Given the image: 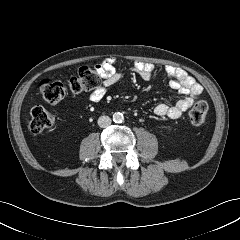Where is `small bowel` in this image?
Wrapping results in <instances>:
<instances>
[{
  "instance_id": "c3829d8e",
  "label": "small bowel",
  "mask_w": 240,
  "mask_h": 240,
  "mask_svg": "<svg viewBox=\"0 0 240 240\" xmlns=\"http://www.w3.org/2000/svg\"><path fill=\"white\" fill-rule=\"evenodd\" d=\"M116 62L117 59L111 56L96 65V70L102 77V83L91 92L89 96L91 101H100L106 95L107 90L123 78L124 74L116 69ZM131 72L144 80H150L154 76L155 67L150 63L136 61L131 67ZM165 72L170 78V87L176 90L181 98L173 104H157L154 107V113L161 117L178 118L193 105L195 99L202 93L203 88L181 68L167 65L165 66Z\"/></svg>"
}]
</instances>
